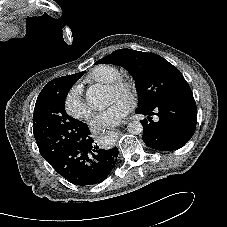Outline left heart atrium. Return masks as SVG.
Returning <instances> with one entry per match:
<instances>
[{
	"instance_id": "left-heart-atrium-1",
	"label": "left heart atrium",
	"mask_w": 227,
	"mask_h": 227,
	"mask_svg": "<svg viewBox=\"0 0 227 227\" xmlns=\"http://www.w3.org/2000/svg\"><path fill=\"white\" fill-rule=\"evenodd\" d=\"M132 108V100L127 95L113 99L92 121L95 128L114 127L120 124Z\"/></svg>"
}]
</instances>
